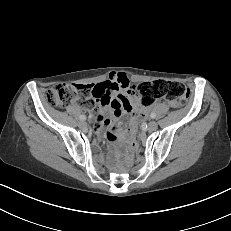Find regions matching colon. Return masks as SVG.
<instances>
[{
    "label": "colon",
    "instance_id": "colon-1",
    "mask_svg": "<svg viewBox=\"0 0 231 231\" xmlns=\"http://www.w3.org/2000/svg\"><path fill=\"white\" fill-rule=\"evenodd\" d=\"M138 92L142 107H147L162 98L173 107H179L184 105L189 97V91L181 83L160 79L141 83ZM46 99L56 107H64L71 103L88 107L93 105L91 85L59 84L47 91ZM128 144L133 153L138 152L139 142L134 135L129 136Z\"/></svg>",
    "mask_w": 231,
    "mask_h": 231
}]
</instances>
